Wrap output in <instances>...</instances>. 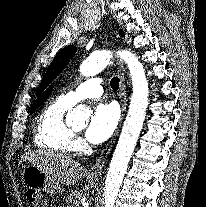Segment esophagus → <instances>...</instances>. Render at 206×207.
<instances>
[{
	"label": "esophagus",
	"instance_id": "esophagus-1",
	"mask_svg": "<svg viewBox=\"0 0 206 207\" xmlns=\"http://www.w3.org/2000/svg\"><path fill=\"white\" fill-rule=\"evenodd\" d=\"M117 69H118V73L120 77L119 99H120V106H121V116H120L118 126L115 132L113 133L111 139L102 149L99 157L96 159V161L92 164L91 168L89 169V172L94 176H100L103 171V168L106 165L108 157L119 135V131H120V128H121V125H122V122H123V119L126 113V109H127V100L125 97L126 72H125L124 64L121 60L117 61Z\"/></svg>",
	"mask_w": 206,
	"mask_h": 207
}]
</instances>
